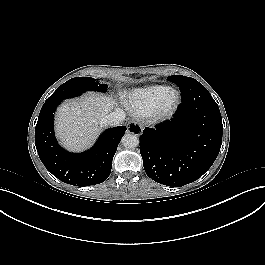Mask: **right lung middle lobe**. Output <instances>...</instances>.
<instances>
[{
  "label": "right lung middle lobe",
  "mask_w": 265,
  "mask_h": 265,
  "mask_svg": "<svg viewBox=\"0 0 265 265\" xmlns=\"http://www.w3.org/2000/svg\"><path fill=\"white\" fill-rule=\"evenodd\" d=\"M90 90L106 92L107 85L99 84L94 78L75 77L59 86L55 92L45 101V103L61 102L67 98L80 96L82 93Z\"/></svg>",
  "instance_id": "1"
}]
</instances>
